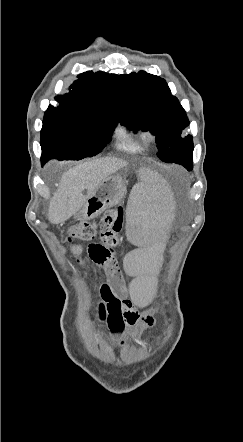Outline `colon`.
Here are the masks:
<instances>
[{
  "mask_svg": "<svg viewBox=\"0 0 243 442\" xmlns=\"http://www.w3.org/2000/svg\"><path fill=\"white\" fill-rule=\"evenodd\" d=\"M123 227V209L118 206L108 210L97 222L80 221L69 227L68 242L79 262H83V248L77 241L91 242L86 249L92 260L102 264L115 258L114 248L119 245Z\"/></svg>",
  "mask_w": 243,
  "mask_h": 442,
  "instance_id": "obj_1",
  "label": "colon"
}]
</instances>
